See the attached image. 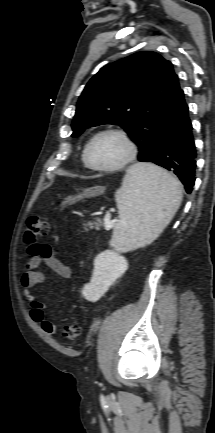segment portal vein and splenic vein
Segmentation results:
<instances>
[{
  "label": "portal vein and splenic vein",
  "instance_id": "1",
  "mask_svg": "<svg viewBox=\"0 0 215 433\" xmlns=\"http://www.w3.org/2000/svg\"><path fill=\"white\" fill-rule=\"evenodd\" d=\"M114 220H111V214L109 212L106 213L104 218V226L106 229H111L114 225Z\"/></svg>",
  "mask_w": 215,
  "mask_h": 433
}]
</instances>
